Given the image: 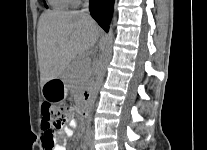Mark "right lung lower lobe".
I'll list each match as a JSON object with an SVG mask.
<instances>
[{"instance_id":"right-lung-lower-lobe-1","label":"right lung lower lobe","mask_w":207,"mask_h":150,"mask_svg":"<svg viewBox=\"0 0 207 150\" xmlns=\"http://www.w3.org/2000/svg\"><path fill=\"white\" fill-rule=\"evenodd\" d=\"M114 0H90V12L97 23L106 31L109 30Z\"/></svg>"}]
</instances>
